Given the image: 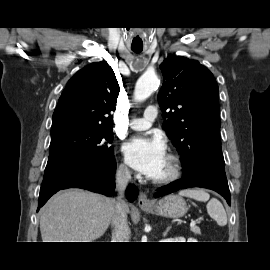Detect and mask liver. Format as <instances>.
I'll return each mask as SVG.
<instances>
[{
	"label": "liver",
	"mask_w": 270,
	"mask_h": 270,
	"mask_svg": "<svg viewBox=\"0 0 270 270\" xmlns=\"http://www.w3.org/2000/svg\"><path fill=\"white\" fill-rule=\"evenodd\" d=\"M115 204L113 198L80 189L59 192L42 209L43 242H93L107 230Z\"/></svg>",
	"instance_id": "liver-1"
}]
</instances>
